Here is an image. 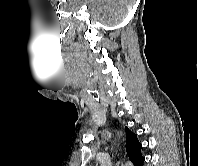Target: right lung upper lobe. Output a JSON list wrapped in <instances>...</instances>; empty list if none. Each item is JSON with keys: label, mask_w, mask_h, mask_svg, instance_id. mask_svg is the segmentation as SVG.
I'll list each match as a JSON object with an SVG mask.
<instances>
[{"label": "right lung upper lobe", "mask_w": 198, "mask_h": 166, "mask_svg": "<svg viewBox=\"0 0 198 166\" xmlns=\"http://www.w3.org/2000/svg\"><path fill=\"white\" fill-rule=\"evenodd\" d=\"M126 130V151L133 162L134 166H141L144 161V158L141 154L142 145L139 143L137 135L131 132L128 127H125Z\"/></svg>", "instance_id": "obj_1"}]
</instances>
